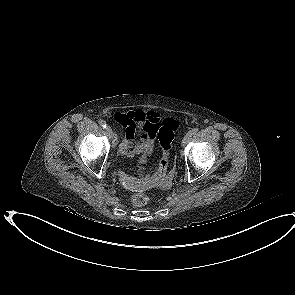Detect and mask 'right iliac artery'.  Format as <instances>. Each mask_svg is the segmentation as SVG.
I'll return each instance as SVG.
<instances>
[{"label": "right iliac artery", "instance_id": "obj_1", "mask_svg": "<svg viewBox=\"0 0 295 295\" xmlns=\"http://www.w3.org/2000/svg\"><path fill=\"white\" fill-rule=\"evenodd\" d=\"M99 124H100V126H102L104 129H106L107 124H106V122H105L104 120H99Z\"/></svg>", "mask_w": 295, "mask_h": 295}]
</instances>
